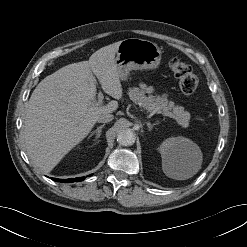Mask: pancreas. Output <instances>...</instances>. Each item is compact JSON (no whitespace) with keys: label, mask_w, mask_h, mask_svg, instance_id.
<instances>
[{"label":"pancreas","mask_w":247,"mask_h":247,"mask_svg":"<svg viewBox=\"0 0 247 247\" xmlns=\"http://www.w3.org/2000/svg\"><path fill=\"white\" fill-rule=\"evenodd\" d=\"M127 94L130 99L139 106L143 107L147 112H170L182 127H188L190 120V113L185 111L182 106H175L174 102L168 101L166 95L154 96L146 95L144 90L138 87L129 88Z\"/></svg>","instance_id":"pancreas-1"}]
</instances>
